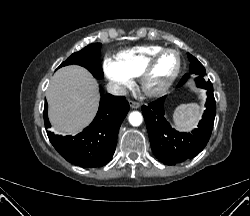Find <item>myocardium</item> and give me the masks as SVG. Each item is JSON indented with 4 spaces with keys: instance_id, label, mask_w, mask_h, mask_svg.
<instances>
[{
    "instance_id": "myocardium-1",
    "label": "myocardium",
    "mask_w": 250,
    "mask_h": 216,
    "mask_svg": "<svg viewBox=\"0 0 250 216\" xmlns=\"http://www.w3.org/2000/svg\"><path fill=\"white\" fill-rule=\"evenodd\" d=\"M166 53H174L177 56V67L173 75L170 77V79L159 89H149L147 87V78L150 75L151 71L153 70L157 60L164 54ZM182 69V57L181 54L178 50L173 49V48H164L155 54L151 56V58L148 60L144 68L142 69L140 75H139V83H140V88L143 91V93L148 96V97H159L165 94L171 86L174 84V82L177 80V78L180 75Z\"/></svg>"
}]
</instances>
